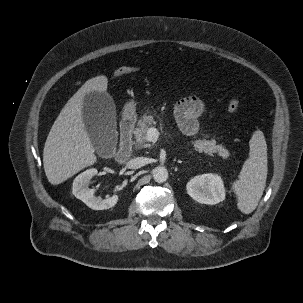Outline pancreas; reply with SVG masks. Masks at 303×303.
Instances as JSON below:
<instances>
[{"mask_svg":"<svg viewBox=\"0 0 303 303\" xmlns=\"http://www.w3.org/2000/svg\"><path fill=\"white\" fill-rule=\"evenodd\" d=\"M157 121L152 115H143V117L138 121L137 123V128L134 131L135 139H136V148L141 149V148H146L150 147V144L146 143V133L147 130L153 126L156 125ZM194 145V149L198 152H205L208 154L212 153H218L220 156L223 158H226L229 153L228 150L225 149L222 145H216L215 140H195L192 142Z\"/></svg>","mask_w":303,"mask_h":303,"instance_id":"cf45deb5","label":"pancreas"}]
</instances>
